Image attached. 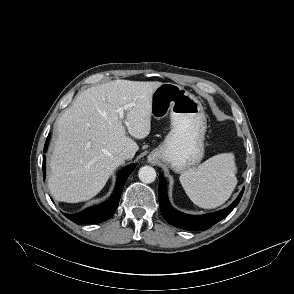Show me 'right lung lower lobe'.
<instances>
[{"label":"right lung lower lobe","instance_id":"obj_1","mask_svg":"<svg viewBox=\"0 0 294 294\" xmlns=\"http://www.w3.org/2000/svg\"><path fill=\"white\" fill-rule=\"evenodd\" d=\"M49 139L50 136H48L46 140L44 151L47 150ZM134 168L135 165H130L129 167H126L124 170H122L117 180L114 192L108 201L101 205L87 208L80 213L72 215L65 214V216L77 224L100 223L108 220L115 213L119 204L123 186L130 173L134 170ZM43 175H45V157L43 159Z\"/></svg>","mask_w":294,"mask_h":294}]
</instances>
